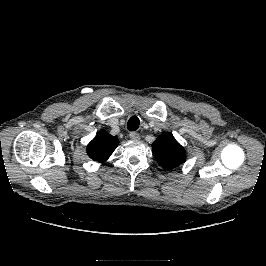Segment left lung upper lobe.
<instances>
[{
  "instance_id": "left-lung-upper-lobe-1",
  "label": "left lung upper lobe",
  "mask_w": 266,
  "mask_h": 266,
  "mask_svg": "<svg viewBox=\"0 0 266 266\" xmlns=\"http://www.w3.org/2000/svg\"><path fill=\"white\" fill-rule=\"evenodd\" d=\"M152 152L157 162L166 170H171L185 162L184 148L169 133L161 134L152 143Z\"/></svg>"
}]
</instances>
